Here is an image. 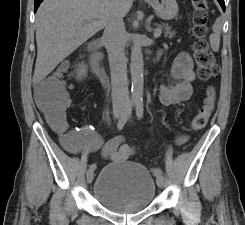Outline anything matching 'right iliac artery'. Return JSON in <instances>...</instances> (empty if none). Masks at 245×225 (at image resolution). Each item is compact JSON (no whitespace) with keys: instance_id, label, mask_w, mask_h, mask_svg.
I'll return each mask as SVG.
<instances>
[{"instance_id":"right-iliac-artery-1","label":"right iliac artery","mask_w":245,"mask_h":225,"mask_svg":"<svg viewBox=\"0 0 245 225\" xmlns=\"http://www.w3.org/2000/svg\"><path fill=\"white\" fill-rule=\"evenodd\" d=\"M134 103L131 101L128 105V108L126 109L124 115L121 117V119L117 123V129L122 130L124 125L126 124L127 120L131 116L132 109H133ZM90 169L95 170L96 169V164H92L90 166Z\"/></svg>"}]
</instances>
